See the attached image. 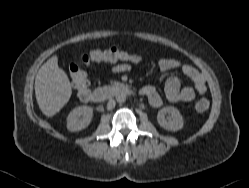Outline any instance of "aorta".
Wrapping results in <instances>:
<instances>
[{"mask_svg": "<svg viewBox=\"0 0 249 188\" xmlns=\"http://www.w3.org/2000/svg\"><path fill=\"white\" fill-rule=\"evenodd\" d=\"M116 101L118 103H124L126 101V94L125 93H118L116 95Z\"/></svg>", "mask_w": 249, "mask_h": 188, "instance_id": "762f6f07", "label": "aorta"}]
</instances>
